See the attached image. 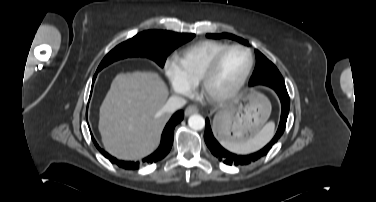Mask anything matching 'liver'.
<instances>
[{
    "mask_svg": "<svg viewBox=\"0 0 376 202\" xmlns=\"http://www.w3.org/2000/svg\"><path fill=\"white\" fill-rule=\"evenodd\" d=\"M168 91L156 72L118 74L100 107L99 131L106 151L139 160L154 151L169 119L162 111Z\"/></svg>",
    "mask_w": 376,
    "mask_h": 202,
    "instance_id": "1",
    "label": "liver"
}]
</instances>
